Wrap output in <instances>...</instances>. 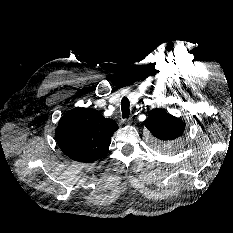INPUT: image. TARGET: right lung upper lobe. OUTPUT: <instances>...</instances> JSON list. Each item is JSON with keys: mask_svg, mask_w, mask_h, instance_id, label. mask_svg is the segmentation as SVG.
I'll return each mask as SVG.
<instances>
[{"mask_svg": "<svg viewBox=\"0 0 233 233\" xmlns=\"http://www.w3.org/2000/svg\"><path fill=\"white\" fill-rule=\"evenodd\" d=\"M117 123L92 108H75L66 113L56 128V140L69 158L92 163L103 156Z\"/></svg>", "mask_w": 233, "mask_h": 233, "instance_id": "cb5924a9", "label": "right lung upper lobe"}]
</instances>
